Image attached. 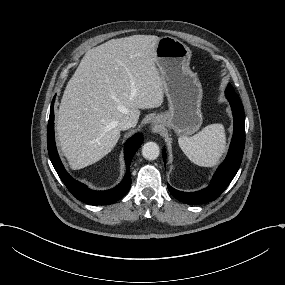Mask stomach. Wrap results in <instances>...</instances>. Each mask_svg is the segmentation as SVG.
I'll list each match as a JSON object with an SVG mask.
<instances>
[{"mask_svg":"<svg viewBox=\"0 0 285 285\" xmlns=\"http://www.w3.org/2000/svg\"><path fill=\"white\" fill-rule=\"evenodd\" d=\"M192 52L170 36L161 37L155 49V63L161 73L169 110L158 114L156 130L173 129L179 136L191 135L202 124V85L190 67Z\"/></svg>","mask_w":285,"mask_h":285,"instance_id":"obj_1","label":"stomach"}]
</instances>
